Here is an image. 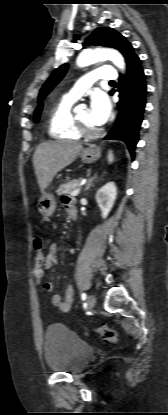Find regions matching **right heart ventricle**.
<instances>
[{
  "label": "right heart ventricle",
  "instance_id": "obj_1",
  "mask_svg": "<svg viewBox=\"0 0 168 415\" xmlns=\"http://www.w3.org/2000/svg\"><path fill=\"white\" fill-rule=\"evenodd\" d=\"M76 99L68 96L60 99L49 117V134L59 140H78L81 134L76 128L72 106Z\"/></svg>",
  "mask_w": 168,
  "mask_h": 415
}]
</instances>
